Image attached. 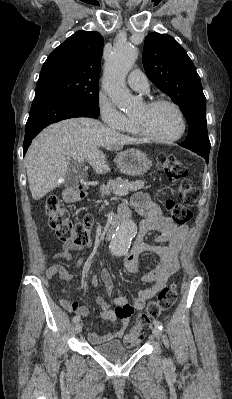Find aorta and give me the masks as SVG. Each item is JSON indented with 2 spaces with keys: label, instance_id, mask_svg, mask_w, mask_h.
Segmentation results:
<instances>
[{
  "label": "aorta",
  "instance_id": "obj_1",
  "mask_svg": "<svg viewBox=\"0 0 232 399\" xmlns=\"http://www.w3.org/2000/svg\"><path fill=\"white\" fill-rule=\"evenodd\" d=\"M138 56L135 47L124 45L116 47L105 63L103 88L112 102L121 110L134 109L138 101L126 87L125 79ZM137 232L136 224L128 219L123 221L115 232L109 250L120 256L127 253L131 240Z\"/></svg>",
  "mask_w": 232,
  "mask_h": 399
}]
</instances>
